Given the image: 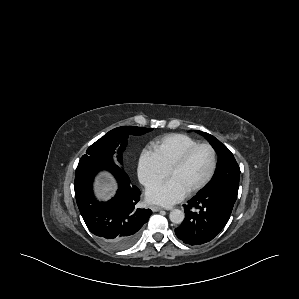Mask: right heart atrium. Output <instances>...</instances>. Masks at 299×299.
Listing matches in <instances>:
<instances>
[{"mask_svg":"<svg viewBox=\"0 0 299 299\" xmlns=\"http://www.w3.org/2000/svg\"><path fill=\"white\" fill-rule=\"evenodd\" d=\"M137 175L142 185L150 187L166 179L168 171L164 169L153 151L145 149L138 158Z\"/></svg>","mask_w":299,"mask_h":299,"instance_id":"d8ad5b80","label":"right heart atrium"}]
</instances>
